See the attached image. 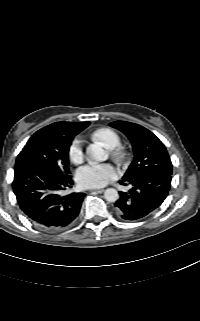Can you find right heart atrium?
Instances as JSON below:
<instances>
[{
	"label": "right heart atrium",
	"mask_w": 200,
	"mask_h": 321,
	"mask_svg": "<svg viewBox=\"0 0 200 321\" xmlns=\"http://www.w3.org/2000/svg\"><path fill=\"white\" fill-rule=\"evenodd\" d=\"M68 155L74 164H79L83 161L84 151L82 141L78 138L72 140L68 148Z\"/></svg>",
	"instance_id": "1"
}]
</instances>
